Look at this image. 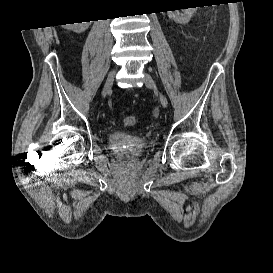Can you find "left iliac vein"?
Instances as JSON below:
<instances>
[{"label": "left iliac vein", "instance_id": "1", "mask_svg": "<svg viewBox=\"0 0 273 273\" xmlns=\"http://www.w3.org/2000/svg\"><path fill=\"white\" fill-rule=\"evenodd\" d=\"M144 83L147 88L152 89V90H156L155 81L153 80V78L151 77V75L149 73H145ZM157 93H158L161 105L164 108H166L168 106V100H167L166 96L163 95L162 93H159V92H157Z\"/></svg>", "mask_w": 273, "mask_h": 273}]
</instances>
